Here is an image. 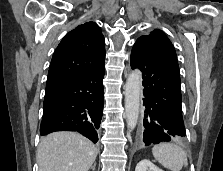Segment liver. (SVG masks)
<instances>
[{
  "label": "liver",
  "mask_w": 223,
  "mask_h": 171,
  "mask_svg": "<svg viewBox=\"0 0 223 171\" xmlns=\"http://www.w3.org/2000/svg\"><path fill=\"white\" fill-rule=\"evenodd\" d=\"M97 148L75 132H54L43 138L36 160L39 171H88L97 157Z\"/></svg>",
  "instance_id": "6515ba94"
}]
</instances>
